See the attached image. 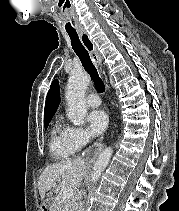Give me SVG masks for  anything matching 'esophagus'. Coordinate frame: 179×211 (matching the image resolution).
<instances>
[{
  "label": "esophagus",
  "instance_id": "34e87169",
  "mask_svg": "<svg viewBox=\"0 0 179 211\" xmlns=\"http://www.w3.org/2000/svg\"><path fill=\"white\" fill-rule=\"evenodd\" d=\"M79 34L89 49L90 56L96 66H100L101 64V56L95 48H92V43L88 39V35L84 30H80ZM108 86L106 85V88ZM102 149H105V144H94V147H88V151H83V159H85V163H93L95 156H97V152H102Z\"/></svg>",
  "mask_w": 179,
  "mask_h": 211
}]
</instances>
